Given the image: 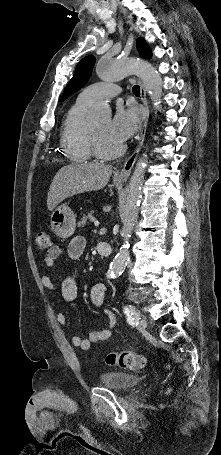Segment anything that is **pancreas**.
Wrapping results in <instances>:
<instances>
[{"label":"pancreas","instance_id":"1","mask_svg":"<svg viewBox=\"0 0 221 455\" xmlns=\"http://www.w3.org/2000/svg\"><path fill=\"white\" fill-rule=\"evenodd\" d=\"M94 211H90L87 214H84L81 220L78 222V227H85L88 224V220L93 222L95 217L93 216Z\"/></svg>","mask_w":221,"mask_h":455}]
</instances>
